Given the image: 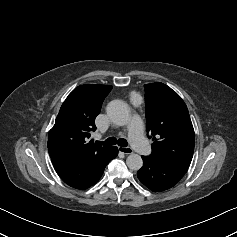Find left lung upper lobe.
Wrapping results in <instances>:
<instances>
[{
  "mask_svg": "<svg viewBox=\"0 0 237 237\" xmlns=\"http://www.w3.org/2000/svg\"><path fill=\"white\" fill-rule=\"evenodd\" d=\"M147 131L154 143L148 157L186 172L194 152L195 135L187 106L167 85L145 84Z\"/></svg>",
  "mask_w": 237,
  "mask_h": 237,
  "instance_id": "obj_1",
  "label": "left lung upper lobe"
}]
</instances>
